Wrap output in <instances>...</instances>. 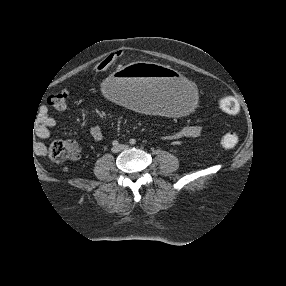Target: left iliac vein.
<instances>
[{"label":"left iliac vein","instance_id":"4c4485c4","mask_svg":"<svg viewBox=\"0 0 286 286\" xmlns=\"http://www.w3.org/2000/svg\"><path fill=\"white\" fill-rule=\"evenodd\" d=\"M119 149H120V150H126V149H128V145H126V144H121V145H119Z\"/></svg>","mask_w":286,"mask_h":286}]
</instances>
